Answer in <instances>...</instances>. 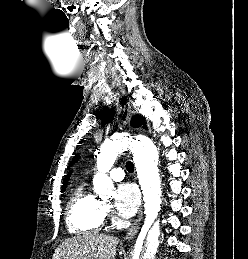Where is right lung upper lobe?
<instances>
[{
  "label": "right lung upper lobe",
  "mask_w": 248,
  "mask_h": 259,
  "mask_svg": "<svg viewBox=\"0 0 248 259\" xmlns=\"http://www.w3.org/2000/svg\"><path fill=\"white\" fill-rule=\"evenodd\" d=\"M68 177H69V176H67V177L65 178V180H64V183H63V186H62V190H65V189H66Z\"/></svg>",
  "instance_id": "1"
}]
</instances>
